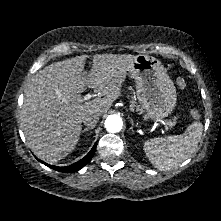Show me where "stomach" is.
<instances>
[{
  "mask_svg": "<svg viewBox=\"0 0 221 221\" xmlns=\"http://www.w3.org/2000/svg\"><path fill=\"white\" fill-rule=\"evenodd\" d=\"M129 73L135 80L137 99L152 120L167 117L176 105V89L161 62L150 55H138Z\"/></svg>",
  "mask_w": 221,
  "mask_h": 221,
  "instance_id": "0dacf381",
  "label": "stomach"
}]
</instances>
